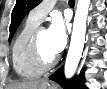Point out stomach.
Listing matches in <instances>:
<instances>
[{
	"mask_svg": "<svg viewBox=\"0 0 107 89\" xmlns=\"http://www.w3.org/2000/svg\"><path fill=\"white\" fill-rule=\"evenodd\" d=\"M42 89H57L55 85L52 84H46L44 88Z\"/></svg>",
	"mask_w": 107,
	"mask_h": 89,
	"instance_id": "0dacf381",
	"label": "stomach"
}]
</instances>
